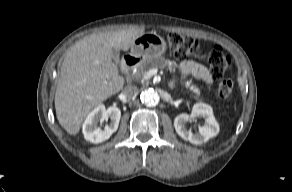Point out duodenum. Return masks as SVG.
Here are the masks:
<instances>
[{
	"label": "duodenum",
	"mask_w": 292,
	"mask_h": 192,
	"mask_svg": "<svg viewBox=\"0 0 292 192\" xmlns=\"http://www.w3.org/2000/svg\"><path fill=\"white\" fill-rule=\"evenodd\" d=\"M139 63V59L132 55H127L122 64H121V70L123 72H127L131 68L135 67Z\"/></svg>",
	"instance_id": "duodenum-1"
}]
</instances>
